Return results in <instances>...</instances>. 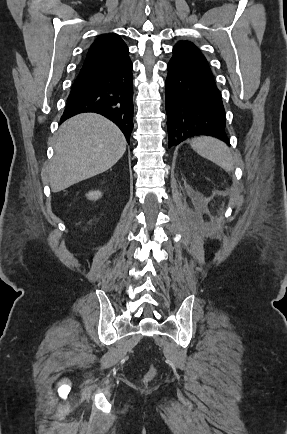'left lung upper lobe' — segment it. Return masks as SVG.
I'll list each match as a JSON object with an SVG mask.
<instances>
[{
  "mask_svg": "<svg viewBox=\"0 0 287 434\" xmlns=\"http://www.w3.org/2000/svg\"><path fill=\"white\" fill-rule=\"evenodd\" d=\"M173 53L205 59L204 55H202V53L197 49V47L193 43L188 41H179L178 43H176L173 47Z\"/></svg>",
  "mask_w": 287,
  "mask_h": 434,
  "instance_id": "1",
  "label": "left lung upper lobe"
}]
</instances>
